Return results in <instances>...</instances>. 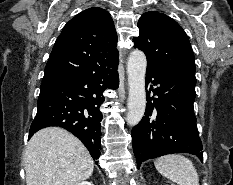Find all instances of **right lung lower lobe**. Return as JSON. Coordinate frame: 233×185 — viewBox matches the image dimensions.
Returning a JSON list of instances; mask_svg holds the SVG:
<instances>
[{
  "mask_svg": "<svg viewBox=\"0 0 233 185\" xmlns=\"http://www.w3.org/2000/svg\"><path fill=\"white\" fill-rule=\"evenodd\" d=\"M117 66L95 73L42 82L38 111L30 127L29 138L44 127L59 126L77 136L92 158L97 160L101 148L102 113L99 107L104 102L103 91L118 88Z\"/></svg>",
  "mask_w": 233,
  "mask_h": 185,
  "instance_id": "obj_1",
  "label": "right lung lower lobe"
}]
</instances>
